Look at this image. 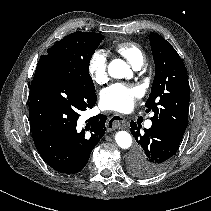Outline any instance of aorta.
Segmentation results:
<instances>
[{
  "mask_svg": "<svg viewBox=\"0 0 211 211\" xmlns=\"http://www.w3.org/2000/svg\"><path fill=\"white\" fill-rule=\"evenodd\" d=\"M129 65L121 59H114L109 63L108 73L111 77L122 79L129 73ZM117 145L123 149H128L132 144L131 135L126 131H119L115 135Z\"/></svg>",
  "mask_w": 211,
  "mask_h": 211,
  "instance_id": "aorta-1",
  "label": "aorta"
}]
</instances>
